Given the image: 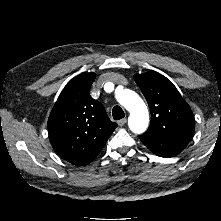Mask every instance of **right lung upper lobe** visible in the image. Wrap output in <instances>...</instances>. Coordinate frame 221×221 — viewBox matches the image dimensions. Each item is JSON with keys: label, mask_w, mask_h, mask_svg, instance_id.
I'll list each match as a JSON object with an SVG mask.
<instances>
[{"label": "right lung upper lobe", "mask_w": 221, "mask_h": 221, "mask_svg": "<svg viewBox=\"0 0 221 221\" xmlns=\"http://www.w3.org/2000/svg\"><path fill=\"white\" fill-rule=\"evenodd\" d=\"M96 77L73 78L61 92L48 119L49 139L58 155L75 165H87L103 149L117 124L89 90Z\"/></svg>", "instance_id": "right-lung-upper-lobe-1"}]
</instances>
